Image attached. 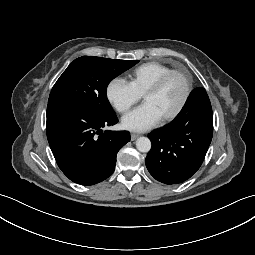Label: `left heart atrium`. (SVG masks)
<instances>
[{
    "instance_id": "obj_1",
    "label": "left heart atrium",
    "mask_w": 255,
    "mask_h": 255,
    "mask_svg": "<svg viewBox=\"0 0 255 255\" xmlns=\"http://www.w3.org/2000/svg\"><path fill=\"white\" fill-rule=\"evenodd\" d=\"M161 119L159 111L151 103L145 102L126 114L122 119V125L131 131H145L158 124Z\"/></svg>"
}]
</instances>
